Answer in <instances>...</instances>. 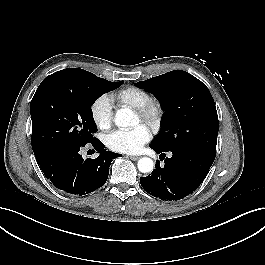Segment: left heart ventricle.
Returning <instances> with one entry per match:
<instances>
[{
	"instance_id": "obj_1",
	"label": "left heart ventricle",
	"mask_w": 265,
	"mask_h": 265,
	"mask_svg": "<svg viewBox=\"0 0 265 265\" xmlns=\"http://www.w3.org/2000/svg\"><path fill=\"white\" fill-rule=\"evenodd\" d=\"M139 120H140V118H139V116H137V121L139 122Z\"/></svg>"
}]
</instances>
